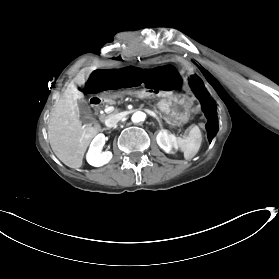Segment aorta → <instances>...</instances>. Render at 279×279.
<instances>
[{
	"label": "aorta",
	"mask_w": 279,
	"mask_h": 279,
	"mask_svg": "<svg viewBox=\"0 0 279 279\" xmlns=\"http://www.w3.org/2000/svg\"><path fill=\"white\" fill-rule=\"evenodd\" d=\"M145 117H146L145 113H143L141 111H137L132 115V121L134 123H138V122L144 121Z\"/></svg>",
	"instance_id": "aorta-1"
}]
</instances>
